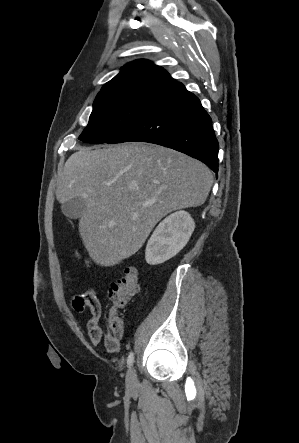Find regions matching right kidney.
Returning a JSON list of instances; mask_svg holds the SVG:
<instances>
[{"mask_svg":"<svg viewBox=\"0 0 299 443\" xmlns=\"http://www.w3.org/2000/svg\"><path fill=\"white\" fill-rule=\"evenodd\" d=\"M194 228V220L186 211H177L167 216L148 240L146 262L157 265L177 255L189 241Z\"/></svg>","mask_w":299,"mask_h":443,"instance_id":"right-kidney-1","label":"right kidney"}]
</instances>
